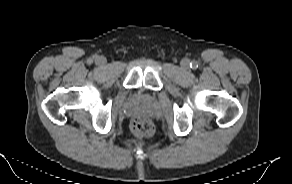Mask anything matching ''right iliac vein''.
<instances>
[{"instance_id":"1","label":"right iliac vein","mask_w":292,"mask_h":184,"mask_svg":"<svg viewBox=\"0 0 292 184\" xmlns=\"http://www.w3.org/2000/svg\"><path fill=\"white\" fill-rule=\"evenodd\" d=\"M97 63H98L99 65H102V64L105 63V59H104L103 57H99V58H97Z\"/></svg>"}]
</instances>
